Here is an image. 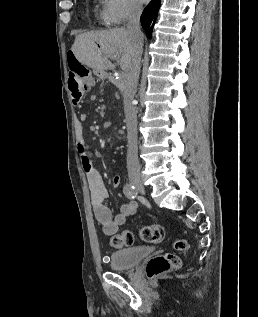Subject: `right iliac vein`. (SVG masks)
I'll return each instance as SVG.
<instances>
[{"mask_svg":"<svg viewBox=\"0 0 258 317\" xmlns=\"http://www.w3.org/2000/svg\"><path fill=\"white\" fill-rule=\"evenodd\" d=\"M130 184L131 186H135L136 189L142 192V195H145V187L142 179H131Z\"/></svg>","mask_w":258,"mask_h":317,"instance_id":"63e3f726","label":"right iliac vein"}]
</instances>
